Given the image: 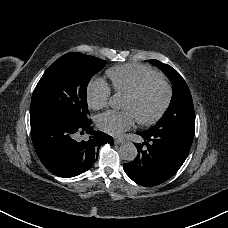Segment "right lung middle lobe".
<instances>
[{
	"instance_id": "right-lung-middle-lobe-1",
	"label": "right lung middle lobe",
	"mask_w": 228,
	"mask_h": 228,
	"mask_svg": "<svg viewBox=\"0 0 228 228\" xmlns=\"http://www.w3.org/2000/svg\"><path fill=\"white\" fill-rule=\"evenodd\" d=\"M105 64L102 59L76 52L61 56L34 89L30 119L55 118L73 124L85 123L89 120L87 85Z\"/></svg>"
}]
</instances>
